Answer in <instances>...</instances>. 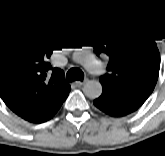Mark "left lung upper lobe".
<instances>
[{
    "label": "left lung upper lobe",
    "instance_id": "5c2ea615",
    "mask_svg": "<svg viewBox=\"0 0 165 156\" xmlns=\"http://www.w3.org/2000/svg\"><path fill=\"white\" fill-rule=\"evenodd\" d=\"M89 41L98 56L110 60L100 82L140 107L159 75L160 54L154 39L129 24L105 21L95 26Z\"/></svg>",
    "mask_w": 165,
    "mask_h": 156
}]
</instances>
